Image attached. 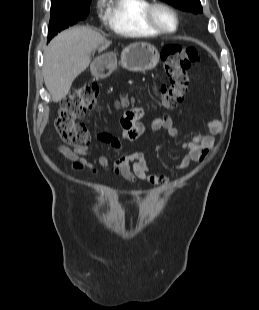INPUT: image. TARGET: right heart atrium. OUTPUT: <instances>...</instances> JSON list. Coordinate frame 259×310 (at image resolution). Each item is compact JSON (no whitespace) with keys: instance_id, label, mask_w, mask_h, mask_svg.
<instances>
[{"instance_id":"1","label":"right heart atrium","mask_w":259,"mask_h":310,"mask_svg":"<svg viewBox=\"0 0 259 310\" xmlns=\"http://www.w3.org/2000/svg\"><path fill=\"white\" fill-rule=\"evenodd\" d=\"M104 1L105 0H97L96 1V11L97 13L99 14V16H102V10H103V7H104Z\"/></svg>"}]
</instances>
